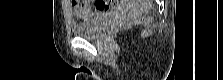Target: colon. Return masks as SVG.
<instances>
[{
    "instance_id": "1",
    "label": "colon",
    "mask_w": 223,
    "mask_h": 80,
    "mask_svg": "<svg viewBox=\"0 0 223 80\" xmlns=\"http://www.w3.org/2000/svg\"><path fill=\"white\" fill-rule=\"evenodd\" d=\"M73 1H75V0H73ZM75 2H77V3H79V4L85 3V2H79V1H75Z\"/></svg>"
}]
</instances>
